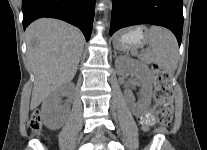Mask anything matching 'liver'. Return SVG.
Returning <instances> with one entry per match:
<instances>
[{"instance_id": "obj_1", "label": "liver", "mask_w": 207, "mask_h": 150, "mask_svg": "<svg viewBox=\"0 0 207 150\" xmlns=\"http://www.w3.org/2000/svg\"><path fill=\"white\" fill-rule=\"evenodd\" d=\"M26 40L27 56L35 78L30 108L35 109L57 88L74 78L84 39L74 26L42 18L28 26Z\"/></svg>"}]
</instances>
